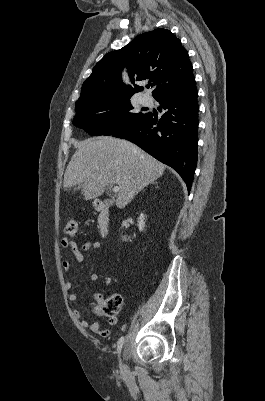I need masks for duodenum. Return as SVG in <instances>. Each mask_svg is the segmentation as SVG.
Masks as SVG:
<instances>
[{
	"label": "duodenum",
	"mask_w": 265,
	"mask_h": 401,
	"mask_svg": "<svg viewBox=\"0 0 265 401\" xmlns=\"http://www.w3.org/2000/svg\"><path fill=\"white\" fill-rule=\"evenodd\" d=\"M95 208L98 211L97 225L102 236H106L110 227V209L103 201H96Z\"/></svg>",
	"instance_id": "duodenum-1"
}]
</instances>
